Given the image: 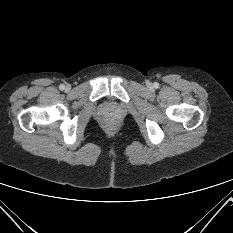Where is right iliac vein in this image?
<instances>
[{"mask_svg":"<svg viewBox=\"0 0 233 233\" xmlns=\"http://www.w3.org/2000/svg\"><path fill=\"white\" fill-rule=\"evenodd\" d=\"M70 89V86L68 85V86H66V90H69Z\"/></svg>","mask_w":233,"mask_h":233,"instance_id":"obj_1","label":"right iliac vein"}]
</instances>
